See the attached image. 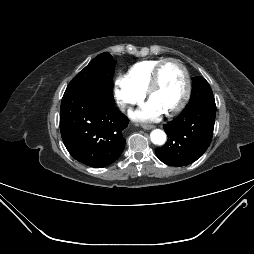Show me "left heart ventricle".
<instances>
[{"mask_svg":"<svg viewBox=\"0 0 254 254\" xmlns=\"http://www.w3.org/2000/svg\"><path fill=\"white\" fill-rule=\"evenodd\" d=\"M184 92V76L175 63H167L160 75L157 89L152 93L150 101L162 111L168 112L181 100Z\"/></svg>","mask_w":254,"mask_h":254,"instance_id":"1","label":"left heart ventricle"}]
</instances>
